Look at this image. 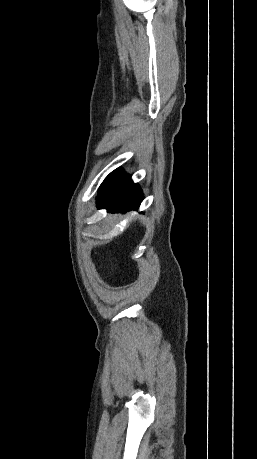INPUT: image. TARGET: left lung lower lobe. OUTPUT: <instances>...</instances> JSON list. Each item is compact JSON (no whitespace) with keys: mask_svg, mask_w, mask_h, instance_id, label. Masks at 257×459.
<instances>
[{"mask_svg":"<svg viewBox=\"0 0 257 459\" xmlns=\"http://www.w3.org/2000/svg\"><path fill=\"white\" fill-rule=\"evenodd\" d=\"M142 192L129 176L116 169L110 173L101 185L97 197V207L107 208L108 212L137 209L142 201Z\"/></svg>","mask_w":257,"mask_h":459,"instance_id":"left-lung-lower-lobe-1","label":"left lung lower lobe"}]
</instances>
